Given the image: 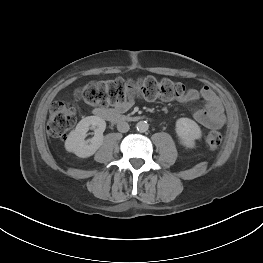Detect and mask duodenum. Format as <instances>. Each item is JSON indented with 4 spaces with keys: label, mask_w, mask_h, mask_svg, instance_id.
<instances>
[{
    "label": "duodenum",
    "mask_w": 263,
    "mask_h": 263,
    "mask_svg": "<svg viewBox=\"0 0 263 263\" xmlns=\"http://www.w3.org/2000/svg\"><path fill=\"white\" fill-rule=\"evenodd\" d=\"M96 115L108 121L114 122V123L136 121L139 119V117L126 116V115L119 113L118 111L111 110V109H98L96 111Z\"/></svg>",
    "instance_id": "1"
}]
</instances>
